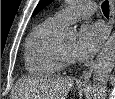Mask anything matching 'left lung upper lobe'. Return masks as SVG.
<instances>
[{"mask_svg":"<svg viewBox=\"0 0 115 99\" xmlns=\"http://www.w3.org/2000/svg\"><path fill=\"white\" fill-rule=\"evenodd\" d=\"M52 0H40L36 9L34 10L33 15L37 14L42 8H44L47 4H49Z\"/></svg>","mask_w":115,"mask_h":99,"instance_id":"obj_1","label":"left lung upper lobe"}]
</instances>
